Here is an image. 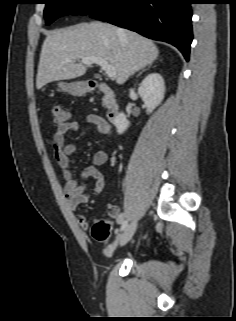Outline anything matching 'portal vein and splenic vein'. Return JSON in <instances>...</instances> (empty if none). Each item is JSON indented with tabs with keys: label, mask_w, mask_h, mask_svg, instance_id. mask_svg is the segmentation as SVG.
Returning <instances> with one entry per match:
<instances>
[{
	"label": "portal vein and splenic vein",
	"mask_w": 236,
	"mask_h": 321,
	"mask_svg": "<svg viewBox=\"0 0 236 321\" xmlns=\"http://www.w3.org/2000/svg\"><path fill=\"white\" fill-rule=\"evenodd\" d=\"M81 63L84 65L98 64L105 71L108 77L116 76V68L113 65H110L105 59L101 57H87L81 60Z\"/></svg>",
	"instance_id": "1"
}]
</instances>
